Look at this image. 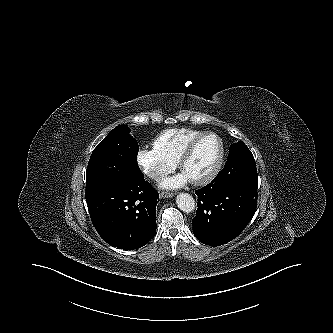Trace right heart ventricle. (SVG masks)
I'll return each mask as SVG.
<instances>
[{
	"label": "right heart ventricle",
	"instance_id": "e07e8e85",
	"mask_svg": "<svg viewBox=\"0 0 333 333\" xmlns=\"http://www.w3.org/2000/svg\"><path fill=\"white\" fill-rule=\"evenodd\" d=\"M202 133L187 128L165 130L153 141V147L160 154L178 162L185 147Z\"/></svg>",
	"mask_w": 333,
	"mask_h": 333
}]
</instances>
